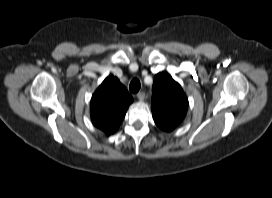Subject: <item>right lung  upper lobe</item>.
Here are the masks:
<instances>
[{
  "label": "right lung upper lobe",
  "mask_w": 272,
  "mask_h": 198,
  "mask_svg": "<svg viewBox=\"0 0 272 198\" xmlns=\"http://www.w3.org/2000/svg\"><path fill=\"white\" fill-rule=\"evenodd\" d=\"M132 102L127 89L116 77L109 76L92 96L91 120L97 128L112 134L119 128Z\"/></svg>",
  "instance_id": "obj_1"
}]
</instances>
